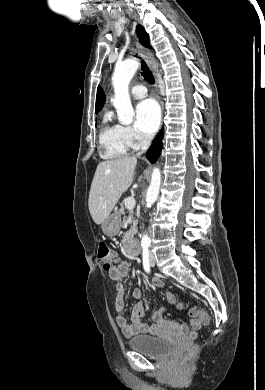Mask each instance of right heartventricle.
I'll return each instance as SVG.
<instances>
[{
	"mask_svg": "<svg viewBox=\"0 0 265 390\" xmlns=\"http://www.w3.org/2000/svg\"><path fill=\"white\" fill-rule=\"evenodd\" d=\"M99 143L101 156L105 159L122 157L130 148L124 135L123 126L114 121L110 111H106L103 115Z\"/></svg>",
	"mask_w": 265,
	"mask_h": 390,
	"instance_id": "right-heart-ventricle-1",
	"label": "right heart ventricle"
}]
</instances>
